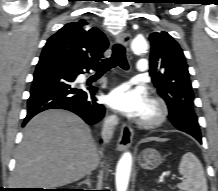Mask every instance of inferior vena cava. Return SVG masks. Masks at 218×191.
Wrapping results in <instances>:
<instances>
[{
    "label": "inferior vena cava",
    "mask_w": 218,
    "mask_h": 191,
    "mask_svg": "<svg viewBox=\"0 0 218 191\" xmlns=\"http://www.w3.org/2000/svg\"><path fill=\"white\" fill-rule=\"evenodd\" d=\"M118 124V117L116 115H111L108 117H105L103 121V127H102V138L104 143L110 142L114 128Z\"/></svg>",
    "instance_id": "1"
}]
</instances>
